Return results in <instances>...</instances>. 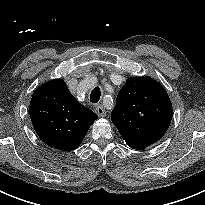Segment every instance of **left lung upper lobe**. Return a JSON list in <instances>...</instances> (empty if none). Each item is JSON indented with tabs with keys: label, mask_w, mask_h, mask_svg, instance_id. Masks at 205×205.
<instances>
[{
	"label": "left lung upper lobe",
	"mask_w": 205,
	"mask_h": 205,
	"mask_svg": "<svg viewBox=\"0 0 205 205\" xmlns=\"http://www.w3.org/2000/svg\"><path fill=\"white\" fill-rule=\"evenodd\" d=\"M111 119L122 137L148 147L160 140L169 128L172 104L157 81L131 77L118 93Z\"/></svg>",
	"instance_id": "1"
}]
</instances>
